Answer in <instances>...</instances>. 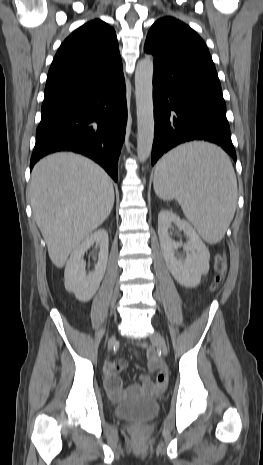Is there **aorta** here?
Instances as JSON below:
<instances>
[{
	"label": "aorta",
	"instance_id": "1",
	"mask_svg": "<svg viewBox=\"0 0 263 465\" xmlns=\"http://www.w3.org/2000/svg\"><path fill=\"white\" fill-rule=\"evenodd\" d=\"M153 59L145 57L138 61L135 71V96L137 108V155L144 162L151 154L154 139L153 106Z\"/></svg>",
	"mask_w": 263,
	"mask_h": 465
}]
</instances>
